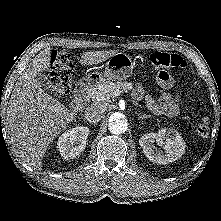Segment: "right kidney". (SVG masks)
I'll list each match as a JSON object with an SVG mask.
<instances>
[{"instance_id":"right-kidney-1","label":"right kidney","mask_w":221,"mask_h":221,"mask_svg":"<svg viewBox=\"0 0 221 221\" xmlns=\"http://www.w3.org/2000/svg\"><path fill=\"white\" fill-rule=\"evenodd\" d=\"M89 132V128L85 126H77L65 131L57 142L61 156L66 160L78 156L85 149Z\"/></svg>"}]
</instances>
